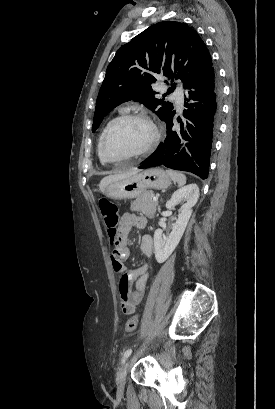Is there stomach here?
I'll return each instance as SVG.
<instances>
[{
	"mask_svg": "<svg viewBox=\"0 0 275 409\" xmlns=\"http://www.w3.org/2000/svg\"><path fill=\"white\" fill-rule=\"evenodd\" d=\"M170 184L171 178L163 168H147L138 174L110 182L105 188V194L110 198H136L147 188L162 190Z\"/></svg>",
	"mask_w": 275,
	"mask_h": 409,
	"instance_id": "stomach-1",
	"label": "stomach"
}]
</instances>
